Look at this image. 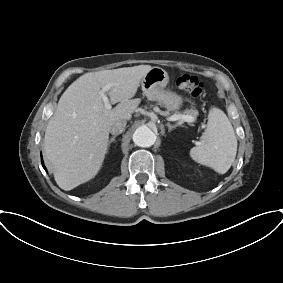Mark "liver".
I'll use <instances>...</instances> for the list:
<instances>
[{"label":"liver","instance_id":"obj_1","mask_svg":"<svg viewBox=\"0 0 283 283\" xmlns=\"http://www.w3.org/2000/svg\"><path fill=\"white\" fill-rule=\"evenodd\" d=\"M150 65L86 73L61 96L44 137V152L57 185L63 190L85 183L102 167L112 124L130 120L140 104L132 99ZM113 109H106L100 92L104 86Z\"/></svg>","mask_w":283,"mask_h":283}]
</instances>
